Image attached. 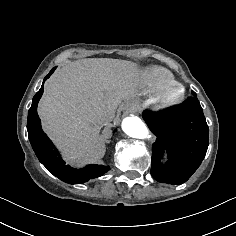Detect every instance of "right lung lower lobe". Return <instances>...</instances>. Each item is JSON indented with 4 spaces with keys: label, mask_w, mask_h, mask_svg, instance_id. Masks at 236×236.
<instances>
[{
    "label": "right lung lower lobe",
    "mask_w": 236,
    "mask_h": 236,
    "mask_svg": "<svg viewBox=\"0 0 236 236\" xmlns=\"http://www.w3.org/2000/svg\"><path fill=\"white\" fill-rule=\"evenodd\" d=\"M55 68H53L44 78L40 90L33 97L32 105L28 112V137L36 156L49 172L66 183L81 184L90 179L102 176L104 173L108 172L110 168L106 165L92 164L83 169H74L65 165V162L61 159L57 149L42 131L41 121L37 114V105L43 94L44 82L54 72Z\"/></svg>",
    "instance_id": "98d812e1"
}]
</instances>
